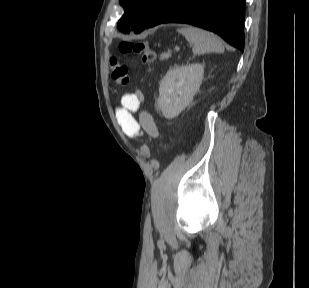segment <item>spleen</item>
Wrapping results in <instances>:
<instances>
[{"label": "spleen", "mask_w": 309, "mask_h": 288, "mask_svg": "<svg viewBox=\"0 0 309 288\" xmlns=\"http://www.w3.org/2000/svg\"><path fill=\"white\" fill-rule=\"evenodd\" d=\"M186 40L193 44V53L200 55L204 53H222L224 51L223 42L215 34L203 29L185 26L178 30Z\"/></svg>", "instance_id": "1"}]
</instances>
